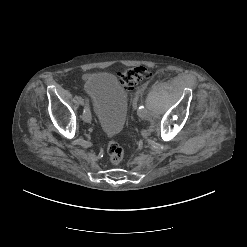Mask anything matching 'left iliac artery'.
Instances as JSON below:
<instances>
[{"label":"left iliac artery","instance_id":"44dca946","mask_svg":"<svg viewBox=\"0 0 247 247\" xmlns=\"http://www.w3.org/2000/svg\"><path fill=\"white\" fill-rule=\"evenodd\" d=\"M143 110H145V107H144V105L141 103L140 106H139V110H138V111H143Z\"/></svg>","mask_w":247,"mask_h":247}]
</instances>
